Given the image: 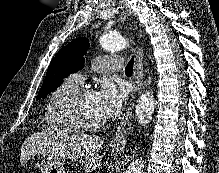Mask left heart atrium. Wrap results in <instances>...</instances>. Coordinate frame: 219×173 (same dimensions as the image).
Instances as JSON below:
<instances>
[{
    "instance_id": "left-heart-atrium-1",
    "label": "left heart atrium",
    "mask_w": 219,
    "mask_h": 173,
    "mask_svg": "<svg viewBox=\"0 0 219 173\" xmlns=\"http://www.w3.org/2000/svg\"><path fill=\"white\" fill-rule=\"evenodd\" d=\"M125 97L126 90L124 86L116 85L111 81L104 82L95 93L97 105L105 119L113 117L120 112Z\"/></svg>"
}]
</instances>
